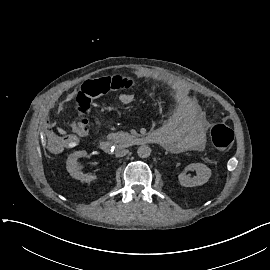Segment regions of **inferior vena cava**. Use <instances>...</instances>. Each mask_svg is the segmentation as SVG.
<instances>
[{"mask_svg": "<svg viewBox=\"0 0 270 270\" xmlns=\"http://www.w3.org/2000/svg\"><path fill=\"white\" fill-rule=\"evenodd\" d=\"M129 153V150L123 149L116 153V157H123Z\"/></svg>", "mask_w": 270, "mask_h": 270, "instance_id": "inferior-vena-cava-1", "label": "inferior vena cava"}]
</instances>
